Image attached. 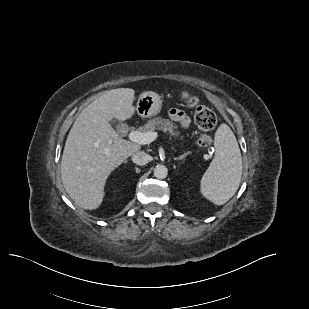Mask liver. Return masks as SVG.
<instances>
[{
  "instance_id": "1",
  "label": "liver",
  "mask_w": 309,
  "mask_h": 309,
  "mask_svg": "<svg viewBox=\"0 0 309 309\" xmlns=\"http://www.w3.org/2000/svg\"><path fill=\"white\" fill-rule=\"evenodd\" d=\"M135 92L130 88L106 91L76 118L65 143L61 179L71 199L83 209H97L111 172L134 152L138 143L120 138L110 125L125 121L135 112Z\"/></svg>"
}]
</instances>
